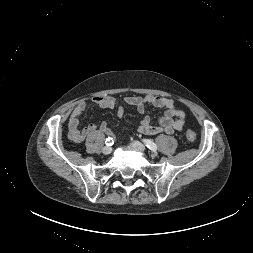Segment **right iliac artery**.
Wrapping results in <instances>:
<instances>
[{
  "mask_svg": "<svg viewBox=\"0 0 253 253\" xmlns=\"http://www.w3.org/2000/svg\"><path fill=\"white\" fill-rule=\"evenodd\" d=\"M105 143H106L107 146H111V145L114 144V140H113V138L109 137V138L106 139Z\"/></svg>",
  "mask_w": 253,
  "mask_h": 253,
  "instance_id": "obj_1",
  "label": "right iliac artery"
}]
</instances>
